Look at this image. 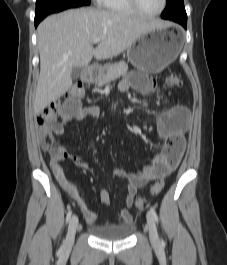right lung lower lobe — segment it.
<instances>
[{"mask_svg": "<svg viewBox=\"0 0 227 265\" xmlns=\"http://www.w3.org/2000/svg\"><path fill=\"white\" fill-rule=\"evenodd\" d=\"M39 22L40 20H35V26H37Z\"/></svg>", "mask_w": 227, "mask_h": 265, "instance_id": "1", "label": "right lung lower lobe"}]
</instances>
